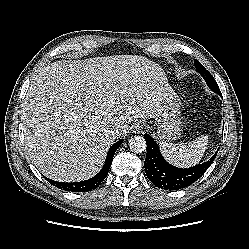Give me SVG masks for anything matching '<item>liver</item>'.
I'll return each instance as SVG.
<instances>
[{
  "instance_id": "liver-1",
  "label": "liver",
  "mask_w": 249,
  "mask_h": 249,
  "mask_svg": "<svg viewBox=\"0 0 249 249\" xmlns=\"http://www.w3.org/2000/svg\"><path fill=\"white\" fill-rule=\"evenodd\" d=\"M170 90L163 68L144 56L53 62L37 73L22 107L30 159L52 180L89 179L129 123L160 114Z\"/></svg>"
}]
</instances>
